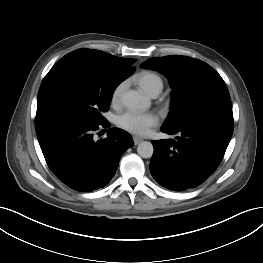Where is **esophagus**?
Wrapping results in <instances>:
<instances>
[{
	"instance_id": "34e87169",
	"label": "esophagus",
	"mask_w": 263,
	"mask_h": 263,
	"mask_svg": "<svg viewBox=\"0 0 263 263\" xmlns=\"http://www.w3.org/2000/svg\"><path fill=\"white\" fill-rule=\"evenodd\" d=\"M133 141H134L135 145H138L139 143H141L143 141V138L138 137V136H134Z\"/></svg>"
}]
</instances>
